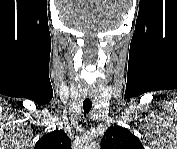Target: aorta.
Here are the masks:
<instances>
[{"label": "aorta", "instance_id": "1", "mask_svg": "<svg viewBox=\"0 0 177 149\" xmlns=\"http://www.w3.org/2000/svg\"><path fill=\"white\" fill-rule=\"evenodd\" d=\"M98 148H99V146L96 145V144H94V143H92V144L86 146V149H98Z\"/></svg>", "mask_w": 177, "mask_h": 149}]
</instances>
